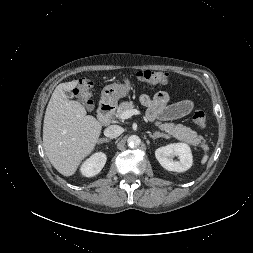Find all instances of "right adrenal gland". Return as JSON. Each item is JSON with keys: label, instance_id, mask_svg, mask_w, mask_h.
Segmentation results:
<instances>
[{"label": "right adrenal gland", "instance_id": "1", "mask_svg": "<svg viewBox=\"0 0 253 253\" xmlns=\"http://www.w3.org/2000/svg\"><path fill=\"white\" fill-rule=\"evenodd\" d=\"M111 141V139L108 138H102L98 140V144H102V143H109Z\"/></svg>", "mask_w": 253, "mask_h": 253}]
</instances>
